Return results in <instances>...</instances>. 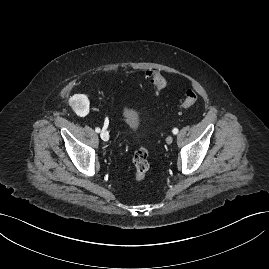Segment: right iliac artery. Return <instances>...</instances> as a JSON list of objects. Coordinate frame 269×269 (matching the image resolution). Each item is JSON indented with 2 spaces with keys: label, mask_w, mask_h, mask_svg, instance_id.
<instances>
[{
  "label": "right iliac artery",
  "mask_w": 269,
  "mask_h": 269,
  "mask_svg": "<svg viewBox=\"0 0 269 269\" xmlns=\"http://www.w3.org/2000/svg\"><path fill=\"white\" fill-rule=\"evenodd\" d=\"M95 131H96L97 133H99V132H100V128H99V127L95 128Z\"/></svg>",
  "instance_id": "right-iliac-artery-1"
}]
</instances>
